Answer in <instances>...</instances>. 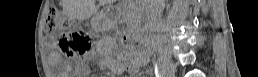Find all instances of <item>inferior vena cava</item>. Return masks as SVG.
Instances as JSON below:
<instances>
[{
    "mask_svg": "<svg viewBox=\"0 0 258 77\" xmlns=\"http://www.w3.org/2000/svg\"><path fill=\"white\" fill-rule=\"evenodd\" d=\"M162 0H154V5L152 6L151 10V18L153 21H156L161 17V12H162V5H161Z\"/></svg>",
    "mask_w": 258,
    "mask_h": 77,
    "instance_id": "1",
    "label": "inferior vena cava"
}]
</instances>
